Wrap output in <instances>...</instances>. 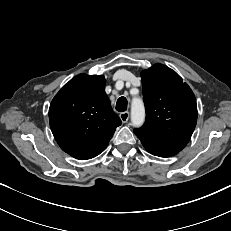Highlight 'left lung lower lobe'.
I'll return each instance as SVG.
<instances>
[{"instance_id":"1","label":"left lung lower lobe","mask_w":231,"mask_h":231,"mask_svg":"<svg viewBox=\"0 0 231 231\" xmlns=\"http://www.w3.org/2000/svg\"><path fill=\"white\" fill-rule=\"evenodd\" d=\"M143 146L145 147V149L155 155V156H159V157H170V156H173L175 154H177L176 152L172 151V150H169V149H166V148H163V147H160L156 144H153L147 140H144V139H140Z\"/></svg>"}]
</instances>
